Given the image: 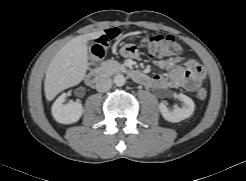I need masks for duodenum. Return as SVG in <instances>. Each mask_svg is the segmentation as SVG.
Instances as JSON below:
<instances>
[{
  "mask_svg": "<svg viewBox=\"0 0 246 181\" xmlns=\"http://www.w3.org/2000/svg\"><path fill=\"white\" fill-rule=\"evenodd\" d=\"M122 71L124 73H127L128 75H130V77L138 83H146L149 79L148 76H146L145 74H143L140 71L130 70L126 67H123ZM105 79H106L105 71L93 70V71L89 72L88 75L86 76V83L89 86L98 87V86H102L104 84Z\"/></svg>",
  "mask_w": 246,
  "mask_h": 181,
  "instance_id": "duodenum-1",
  "label": "duodenum"
}]
</instances>
